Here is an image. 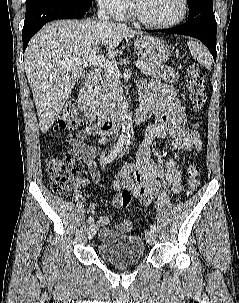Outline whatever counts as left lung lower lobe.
<instances>
[{
    "label": "left lung lower lobe",
    "mask_w": 239,
    "mask_h": 303,
    "mask_svg": "<svg viewBox=\"0 0 239 303\" xmlns=\"http://www.w3.org/2000/svg\"><path fill=\"white\" fill-rule=\"evenodd\" d=\"M148 32H164L171 34H180L199 39L210 50L213 58L216 60V31L217 25L214 14H201L190 19L185 24L163 30H146Z\"/></svg>",
    "instance_id": "obj_1"
}]
</instances>
